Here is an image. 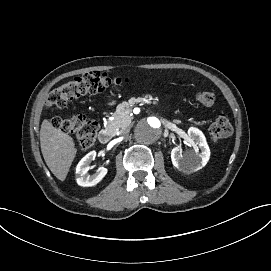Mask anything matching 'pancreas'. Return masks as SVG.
I'll return each mask as SVG.
<instances>
[{"label":"pancreas","mask_w":271,"mask_h":271,"mask_svg":"<svg viewBox=\"0 0 271 271\" xmlns=\"http://www.w3.org/2000/svg\"><path fill=\"white\" fill-rule=\"evenodd\" d=\"M133 102L135 104L142 103H152L155 104L157 102V99L153 96H142L135 97L133 99ZM127 103L122 102L119 106L116 108V112L113 114V120H108V127L113 128L116 131H119L120 129H124L128 127V125L131 123L132 118L129 116L130 108L127 107Z\"/></svg>","instance_id":"pancreas-1"}]
</instances>
